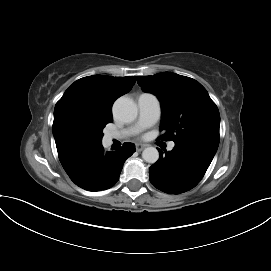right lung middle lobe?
I'll use <instances>...</instances> for the list:
<instances>
[{
	"instance_id": "1",
	"label": "right lung middle lobe",
	"mask_w": 271,
	"mask_h": 271,
	"mask_svg": "<svg viewBox=\"0 0 271 271\" xmlns=\"http://www.w3.org/2000/svg\"><path fill=\"white\" fill-rule=\"evenodd\" d=\"M113 120L101 117L77 118L71 123V131L78 137L101 143L103 128Z\"/></svg>"
}]
</instances>
